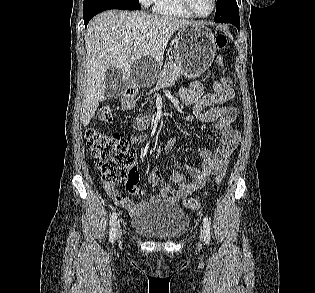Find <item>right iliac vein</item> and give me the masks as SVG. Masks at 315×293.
Listing matches in <instances>:
<instances>
[{"label":"right iliac vein","instance_id":"1","mask_svg":"<svg viewBox=\"0 0 315 293\" xmlns=\"http://www.w3.org/2000/svg\"><path fill=\"white\" fill-rule=\"evenodd\" d=\"M116 231H117V236L120 239L122 236V229L119 222L116 224Z\"/></svg>","mask_w":315,"mask_h":293}]
</instances>
